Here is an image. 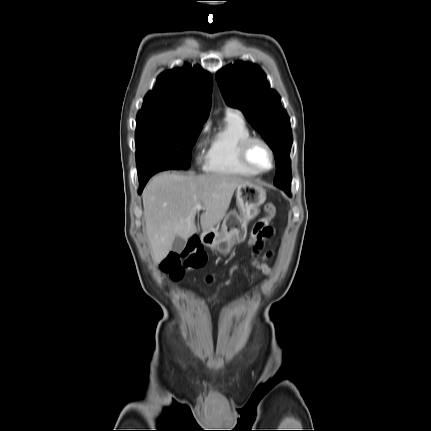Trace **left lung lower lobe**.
Wrapping results in <instances>:
<instances>
[{"instance_id":"1","label":"left lung lower lobe","mask_w":431,"mask_h":431,"mask_svg":"<svg viewBox=\"0 0 431 431\" xmlns=\"http://www.w3.org/2000/svg\"><path fill=\"white\" fill-rule=\"evenodd\" d=\"M286 192V191H285ZM289 196H291L290 192H286Z\"/></svg>"}]
</instances>
